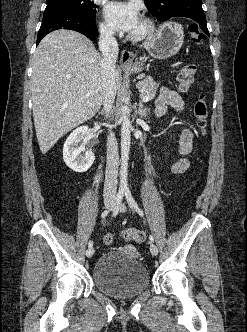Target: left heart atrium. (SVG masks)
Listing matches in <instances>:
<instances>
[{"instance_id": "1", "label": "left heart atrium", "mask_w": 247, "mask_h": 332, "mask_svg": "<svg viewBox=\"0 0 247 332\" xmlns=\"http://www.w3.org/2000/svg\"><path fill=\"white\" fill-rule=\"evenodd\" d=\"M105 17L114 29L133 32L140 22L139 9L136 4L112 2L105 9Z\"/></svg>"}]
</instances>
